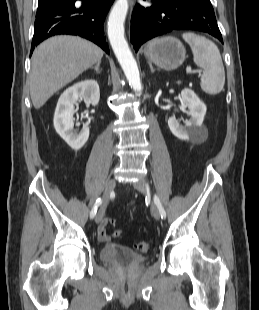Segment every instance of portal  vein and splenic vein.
I'll return each mask as SVG.
<instances>
[{
	"instance_id": "obj_1",
	"label": "portal vein and splenic vein",
	"mask_w": 259,
	"mask_h": 310,
	"mask_svg": "<svg viewBox=\"0 0 259 310\" xmlns=\"http://www.w3.org/2000/svg\"><path fill=\"white\" fill-rule=\"evenodd\" d=\"M186 72H187L188 74H192V73H198V72H200V71H199V70L193 71V70L191 69V67L188 66V67L186 68Z\"/></svg>"
}]
</instances>
